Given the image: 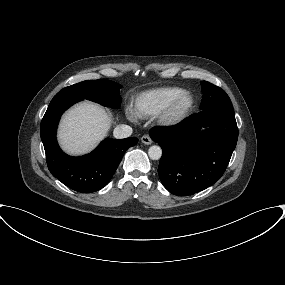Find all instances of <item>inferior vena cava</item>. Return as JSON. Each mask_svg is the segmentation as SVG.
Returning a JSON list of instances; mask_svg holds the SVG:
<instances>
[{"label":"inferior vena cava","mask_w":285,"mask_h":285,"mask_svg":"<svg viewBox=\"0 0 285 285\" xmlns=\"http://www.w3.org/2000/svg\"><path fill=\"white\" fill-rule=\"evenodd\" d=\"M132 128L128 125L121 124L117 125L113 131V136L117 139H123L131 136Z\"/></svg>","instance_id":"1"}]
</instances>
